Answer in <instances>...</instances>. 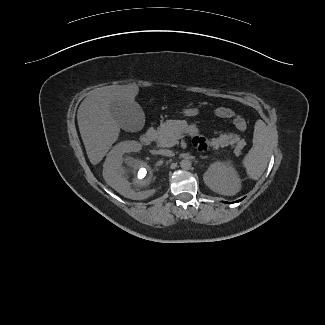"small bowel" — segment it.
<instances>
[{
    "label": "small bowel",
    "mask_w": 325,
    "mask_h": 325,
    "mask_svg": "<svg viewBox=\"0 0 325 325\" xmlns=\"http://www.w3.org/2000/svg\"><path fill=\"white\" fill-rule=\"evenodd\" d=\"M193 144L200 152L206 151L209 146L208 141L203 137H195L193 139Z\"/></svg>",
    "instance_id": "c3829d8e"
}]
</instances>
